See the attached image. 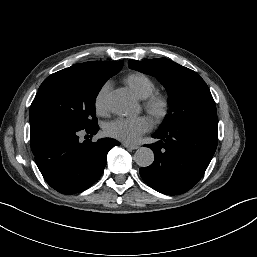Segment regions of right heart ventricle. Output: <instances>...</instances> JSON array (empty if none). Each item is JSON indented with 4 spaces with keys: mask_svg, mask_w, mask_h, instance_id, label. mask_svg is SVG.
Segmentation results:
<instances>
[{
    "mask_svg": "<svg viewBox=\"0 0 257 257\" xmlns=\"http://www.w3.org/2000/svg\"><path fill=\"white\" fill-rule=\"evenodd\" d=\"M126 84L141 99H146L155 91L154 82L141 73L131 74L125 79Z\"/></svg>",
    "mask_w": 257,
    "mask_h": 257,
    "instance_id": "e07e8e85",
    "label": "right heart ventricle"
}]
</instances>
